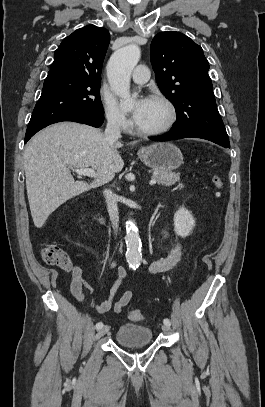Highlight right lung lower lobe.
Listing matches in <instances>:
<instances>
[{
  "label": "right lung lower lobe",
  "mask_w": 265,
  "mask_h": 407,
  "mask_svg": "<svg viewBox=\"0 0 265 407\" xmlns=\"http://www.w3.org/2000/svg\"><path fill=\"white\" fill-rule=\"evenodd\" d=\"M61 121H73V122L84 123V124H87V125H90L93 127H99L102 125V123L104 121V116H103V114H96V113H90V112L76 113V114L64 116V117H61L50 123H47L33 131L26 132L25 142H27L36 132H38L42 128H44L50 124H53L56 122H61Z\"/></svg>",
  "instance_id": "right-lung-lower-lobe-1"
}]
</instances>
